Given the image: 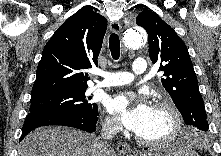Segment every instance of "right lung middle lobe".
<instances>
[{
	"label": "right lung middle lobe",
	"mask_w": 221,
	"mask_h": 156,
	"mask_svg": "<svg viewBox=\"0 0 221 156\" xmlns=\"http://www.w3.org/2000/svg\"><path fill=\"white\" fill-rule=\"evenodd\" d=\"M86 89L66 91L31 99L29 112L52 114H96L98 107L88 102Z\"/></svg>",
	"instance_id": "obj_1"
}]
</instances>
